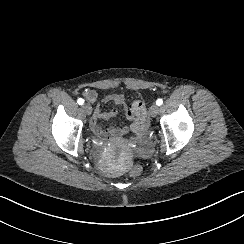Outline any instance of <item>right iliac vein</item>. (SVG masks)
Instances as JSON below:
<instances>
[{
  "label": "right iliac vein",
  "mask_w": 244,
  "mask_h": 244,
  "mask_svg": "<svg viewBox=\"0 0 244 244\" xmlns=\"http://www.w3.org/2000/svg\"><path fill=\"white\" fill-rule=\"evenodd\" d=\"M82 110H83V112H85L88 115H90L92 113V107L89 104H83Z\"/></svg>",
  "instance_id": "63e3f726"
}]
</instances>
